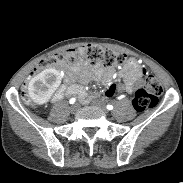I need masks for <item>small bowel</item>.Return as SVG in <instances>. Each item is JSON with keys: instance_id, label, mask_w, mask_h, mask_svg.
<instances>
[{"instance_id": "1", "label": "small bowel", "mask_w": 183, "mask_h": 183, "mask_svg": "<svg viewBox=\"0 0 183 183\" xmlns=\"http://www.w3.org/2000/svg\"><path fill=\"white\" fill-rule=\"evenodd\" d=\"M74 69L79 70L86 81L95 80L107 82L110 81L115 75V71L112 68H87L84 66H77ZM119 75L124 81L121 85L123 86L124 91L127 93H132L141 83L142 72L137 61L133 58L129 59L126 65L121 69ZM66 92L68 93L66 88H61L55 93L53 100L61 99Z\"/></svg>"}]
</instances>
